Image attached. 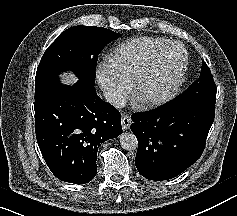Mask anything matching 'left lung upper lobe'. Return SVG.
I'll list each match as a JSON object with an SVG mask.
<instances>
[{
	"instance_id": "1",
	"label": "left lung upper lobe",
	"mask_w": 237,
	"mask_h": 216,
	"mask_svg": "<svg viewBox=\"0 0 237 216\" xmlns=\"http://www.w3.org/2000/svg\"><path fill=\"white\" fill-rule=\"evenodd\" d=\"M176 99L215 110L216 85L210 69L205 62H202L201 75L199 78Z\"/></svg>"
}]
</instances>
